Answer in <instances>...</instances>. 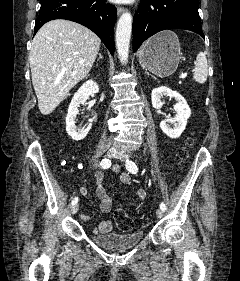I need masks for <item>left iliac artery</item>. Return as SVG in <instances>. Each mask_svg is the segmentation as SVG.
<instances>
[{
	"mask_svg": "<svg viewBox=\"0 0 240 281\" xmlns=\"http://www.w3.org/2000/svg\"><path fill=\"white\" fill-rule=\"evenodd\" d=\"M125 166H126V169H127L129 172H131L132 174H136V173L138 172V167H137V165H136L133 161H131V160H129V159L126 160ZM160 209H161L162 211H165V210H166V206H165V204H164L163 202L160 204Z\"/></svg>",
	"mask_w": 240,
	"mask_h": 281,
	"instance_id": "left-iliac-artery-1",
	"label": "left iliac artery"
}]
</instances>
